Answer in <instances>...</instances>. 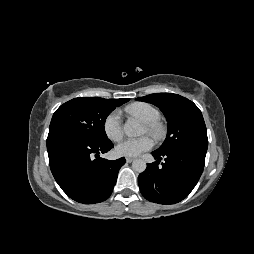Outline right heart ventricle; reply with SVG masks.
Here are the masks:
<instances>
[{
  "label": "right heart ventricle",
  "instance_id": "e07e8e85",
  "mask_svg": "<svg viewBox=\"0 0 254 254\" xmlns=\"http://www.w3.org/2000/svg\"><path fill=\"white\" fill-rule=\"evenodd\" d=\"M125 111L139 117L143 122H154L160 118L158 109L145 102L132 103L125 108Z\"/></svg>",
  "mask_w": 254,
  "mask_h": 254
}]
</instances>
